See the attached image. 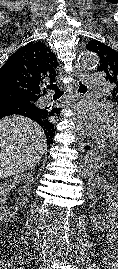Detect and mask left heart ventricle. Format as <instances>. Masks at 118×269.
Listing matches in <instances>:
<instances>
[{"label":"left heart ventricle","mask_w":118,"mask_h":269,"mask_svg":"<svg viewBox=\"0 0 118 269\" xmlns=\"http://www.w3.org/2000/svg\"><path fill=\"white\" fill-rule=\"evenodd\" d=\"M110 133L112 135H118V121L115 120L114 118H113V122H112Z\"/></svg>","instance_id":"left-heart-ventricle-1"}]
</instances>
